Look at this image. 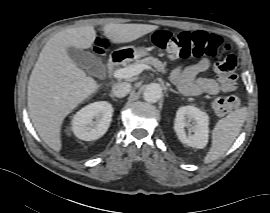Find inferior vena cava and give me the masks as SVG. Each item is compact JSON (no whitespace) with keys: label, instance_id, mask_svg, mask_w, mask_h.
<instances>
[{"label":"inferior vena cava","instance_id":"1","mask_svg":"<svg viewBox=\"0 0 270 213\" xmlns=\"http://www.w3.org/2000/svg\"><path fill=\"white\" fill-rule=\"evenodd\" d=\"M131 90V85L127 82L116 83L112 87V94L118 98L125 97Z\"/></svg>","mask_w":270,"mask_h":213}]
</instances>
